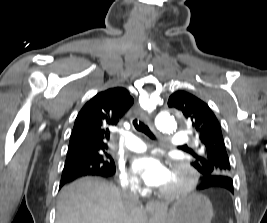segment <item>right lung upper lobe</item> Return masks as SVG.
<instances>
[{
	"mask_svg": "<svg viewBox=\"0 0 267 223\" xmlns=\"http://www.w3.org/2000/svg\"><path fill=\"white\" fill-rule=\"evenodd\" d=\"M134 100L122 87L98 93L81 109L71 133L68 155H81L86 149L107 152L110 128L116 126Z\"/></svg>",
	"mask_w": 267,
	"mask_h": 223,
	"instance_id": "right-lung-upper-lobe-1",
	"label": "right lung upper lobe"
}]
</instances>
